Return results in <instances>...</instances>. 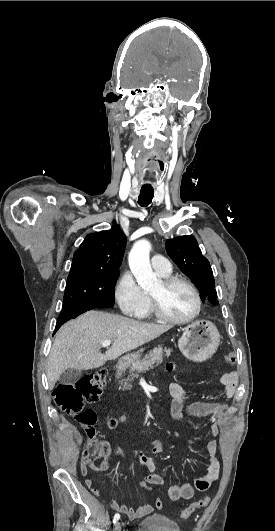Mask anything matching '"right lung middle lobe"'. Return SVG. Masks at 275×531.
<instances>
[{
    "label": "right lung middle lobe",
    "mask_w": 275,
    "mask_h": 531,
    "mask_svg": "<svg viewBox=\"0 0 275 531\" xmlns=\"http://www.w3.org/2000/svg\"><path fill=\"white\" fill-rule=\"evenodd\" d=\"M120 272H83L68 276L63 308L84 306L109 308L114 304V288Z\"/></svg>",
    "instance_id": "1"
}]
</instances>
